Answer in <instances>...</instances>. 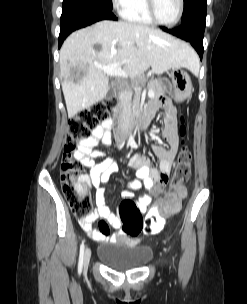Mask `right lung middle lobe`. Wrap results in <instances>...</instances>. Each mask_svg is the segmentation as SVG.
I'll list each match as a JSON object with an SVG mask.
<instances>
[{
  "label": "right lung middle lobe",
  "mask_w": 247,
  "mask_h": 304,
  "mask_svg": "<svg viewBox=\"0 0 247 304\" xmlns=\"http://www.w3.org/2000/svg\"><path fill=\"white\" fill-rule=\"evenodd\" d=\"M89 5H97L112 10V0H77Z\"/></svg>",
  "instance_id": "right-lung-middle-lobe-1"
}]
</instances>
